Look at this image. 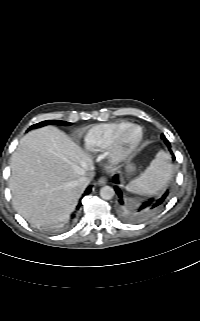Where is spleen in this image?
<instances>
[{
	"instance_id": "1",
	"label": "spleen",
	"mask_w": 200,
	"mask_h": 321,
	"mask_svg": "<svg viewBox=\"0 0 200 321\" xmlns=\"http://www.w3.org/2000/svg\"><path fill=\"white\" fill-rule=\"evenodd\" d=\"M172 174L171 157L161 150L146 170L127 184L126 189L140 195H154L167 186Z\"/></svg>"
}]
</instances>
